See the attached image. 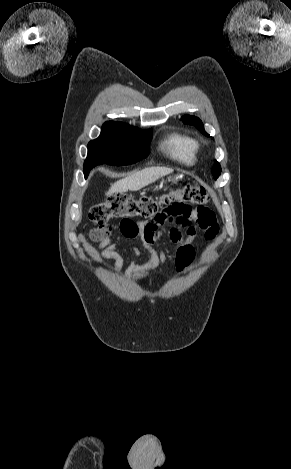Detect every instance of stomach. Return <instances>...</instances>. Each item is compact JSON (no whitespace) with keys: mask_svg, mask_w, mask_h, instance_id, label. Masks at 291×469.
<instances>
[{"mask_svg":"<svg viewBox=\"0 0 291 469\" xmlns=\"http://www.w3.org/2000/svg\"><path fill=\"white\" fill-rule=\"evenodd\" d=\"M177 181H178L177 179L174 180V182H177Z\"/></svg>","mask_w":291,"mask_h":469,"instance_id":"1","label":"stomach"}]
</instances>
